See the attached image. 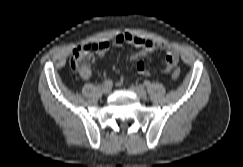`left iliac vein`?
Wrapping results in <instances>:
<instances>
[{"instance_id": "1", "label": "left iliac vein", "mask_w": 243, "mask_h": 167, "mask_svg": "<svg viewBox=\"0 0 243 167\" xmlns=\"http://www.w3.org/2000/svg\"><path fill=\"white\" fill-rule=\"evenodd\" d=\"M130 89L140 98H145L147 96L145 89L141 86L131 85Z\"/></svg>"}]
</instances>
